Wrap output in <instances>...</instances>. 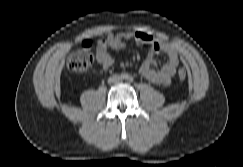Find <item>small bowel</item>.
I'll return each mask as SVG.
<instances>
[{
  "label": "small bowel",
  "instance_id": "c3829d8e",
  "mask_svg": "<svg viewBox=\"0 0 243 167\" xmlns=\"http://www.w3.org/2000/svg\"><path fill=\"white\" fill-rule=\"evenodd\" d=\"M130 39H134L139 45L149 47L148 56L140 66V74L152 83L163 86L170 85L179 65L177 50L170 43L159 40L145 31L126 30L118 34L107 33L97 45L96 57L99 66L103 70L110 69L113 65V58L109 51L123 49L125 41ZM158 52L167 56V61L161 67H157L154 58V54Z\"/></svg>",
  "mask_w": 243,
  "mask_h": 167
}]
</instances>
